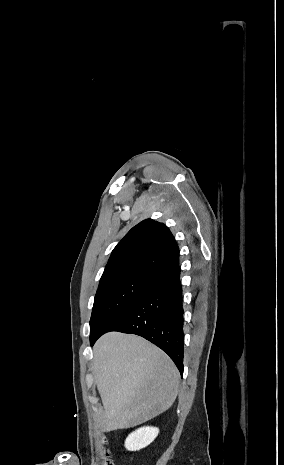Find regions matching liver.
<instances>
[{
	"mask_svg": "<svg viewBox=\"0 0 284 465\" xmlns=\"http://www.w3.org/2000/svg\"><path fill=\"white\" fill-rule=\"evenodd\" d=\"M93 371L105 409L100 431L130 429L161 415L178 395L173 361L136 335L107 333L94 349Z\"/></svg>",
	"mask_w": 284,
	"mask_h": 465,
	"instance_id": "liver-1",
	"label": "liver"
}]
</instances>
